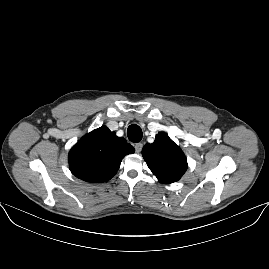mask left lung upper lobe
<instances>
[{
    "label": "left lung upper lobe",
    "mask_w": 269,
    "mask_h": 269,
    "mask_svg": "<svg viewBox=\"0 0 269 269\" xmlns=\"http://www.w3.org/2000/svg\"><path fill=\"white\" fill-rule=\"evenodd\" d=\"M142 155L150 170L163 183L178 181L187 169L184 153L164 132L157 134L154 143L143 147Z\"/></svg>",
    "instance_id": "left-lung-upper-lobe-1"
}]
</instances>
